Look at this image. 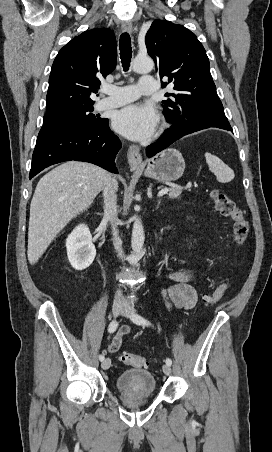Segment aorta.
<instances>
[{
	"label": "aorta",
	"mask_w": 272,
	"mask_h": 452,
	"mask_svg": "<svg viewBox=\"0 0 272 452\" xmlns=\"http://www.w3.org/2000/svg\"><path fill=\"white\" fill-rule=\"evenodd\" d=\"M153 68L154 62L149 57H137L133 61V69L137 73H149ZM133 220L131 247L134 255L137 257L142 251L145 234L141 219L137 215H134Z\"/></svg>",
	"instance_id": "762f6f07"
}]
</instances>
